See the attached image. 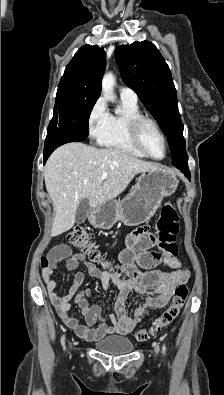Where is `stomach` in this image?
Instances as JSON below:
<instances>
[{
	"mask_svg": "<svg viewBox=\"0 0 224 395\" xmlns=\"http://www.w3.org/2000/svg\"><path fill=\"white\" fill-rule=\"evenodd\" d=\"M178 183L173 169L157 167L144 171L134 189L120 202L108 200L94 208L90 223L102 229H110L118 220L128 226L140 225L155 214L164 197L176 191Z\"/></svg>",
	"mask_w": 224,
	"mask_h": 395,
	"instance_id": "obj_1",
	"label": "stomach"
}]
</instances>
